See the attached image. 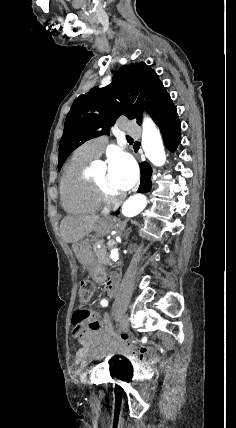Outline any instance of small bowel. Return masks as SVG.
Returning a JSON list of instances; mask_svg holds the SVG:
<instances>
[{
  "label": "small bowel",
  "instance_id": "obj_1",
  "mask_svg": "<svg viewBox=\"0 0 236 428\" xmlns=\"http://www.w3.org/2000/svg\"><path fill=\"white\" fill-rule=\"evenodd\" d=\"M118 277L110 275L105 283V291L113 295L117 291ZM99 320L98 326L89 325L80 332L73 331V337L78 339L82 348L77 352V358L82 360L90 356L101 355L106 350L114 349L123 354L133 353L143 362H155L158 356L153 348L144 345H135L128 338L121 336L112 338L107 326L106 318L100 314L95 315Z\"/></svg>",
  "mask_w": 236,
  "mask_h": 428
}]
</instances>
